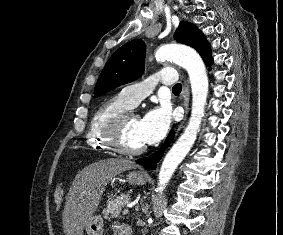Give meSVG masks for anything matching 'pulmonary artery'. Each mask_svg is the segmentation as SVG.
<instances>
[{"mask_svg": "<svg viewBox=\"0 0 283 235\" xmlns=\"http://www.w3.org/2000/svg\"><path fill=\"white\" fill-rule=\"evenodd\" d=\"M176 79L177 74L174 69L164 68L142 82L124 87L120 95L131 107H135L141 100L152 93L157 83L172 85L176 82Z\"/></svg>", "mask_w": 283, "mask_h": 235, "instance_id": "1", "label": "pulmonary artery"}]
</instances>
